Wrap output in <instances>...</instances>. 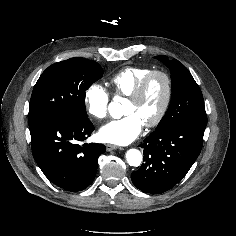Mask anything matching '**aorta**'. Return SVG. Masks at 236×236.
<instances>
[{
  "mask_svg": "<svg viewBox=\"0 0 236 236\" xmlns=\"http://www.w3.org/2000/svg\"><path fill=\"white\" fill-rule=\"evenodd\" d=\"M117 98L115 102L109 104V113L112 117H116V113L120 111L119 104L117 103ZM126 161L130 166L138 167L142 162V154L137 149H129L126 152Z\"/></svg>",
  "mask_w": 236,
  "mask_h": 236,
  "instance_id": "obj_1",
  "label": "aorta"
}]
</instances>
